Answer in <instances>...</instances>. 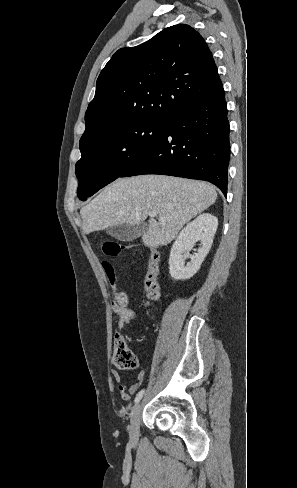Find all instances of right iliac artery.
Listing matches in <instances>:
<instances>
[{
	"label": "right iliac artery",
	"mask_w": 297,
	"mask_h": 488,
	"mask_svg": "<svg viewBox=\"0 0 297 488\" xmlns=\"http://www.w3.org/2000/svg\"><path fill=\"white\" fill-rule=\"evenodd\" d=\"M143 395H144V389L138 392V394L135 397L134 402L138 403L142 399Z\"/></svg>",
	"instance_id": "right-iliac-artery-1"
}]
</instances>
